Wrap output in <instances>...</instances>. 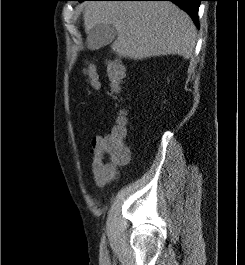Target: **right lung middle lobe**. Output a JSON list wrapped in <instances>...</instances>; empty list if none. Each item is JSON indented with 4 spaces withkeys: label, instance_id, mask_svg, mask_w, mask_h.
<instances>
[{
    "label": "right lung middle lobe",
    "instance_id": "obj_1",
    "mask_svg": "<svg viewBox=\"0 0 245 265\" xmlns=\"http://www.w3.org/2000/svg\"><path fill=\"white\" fill-rule=\"evenodd\" d=\"M79 2L85 1V0H78Z\"/></svg>",
    "mask_w": 245,
    "mask_h": 265
}]
</instances>
